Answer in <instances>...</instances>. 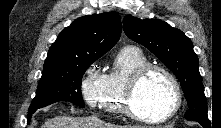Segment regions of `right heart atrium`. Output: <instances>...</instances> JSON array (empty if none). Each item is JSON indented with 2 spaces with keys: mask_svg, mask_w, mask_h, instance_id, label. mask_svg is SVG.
Here are the masks:
<instances>
[{
  "mask_svg": "<svg viewBox=\"0 0 221 128\" xmlns=\"http://www.w3.org/2000/svg\"><path fill=\"white\" fill-rule=\"evenodd\" d=\"M105 75H103L95 65L90 66L84 75L81 92L86 103L95 107L99 103V97L104 85Z\"/></svg>",
  "mask_w": 221,
  "mask_h": 128,
  "instance_id": "obj_1",
  "label": "right heart atrium"
}]
</instances>
